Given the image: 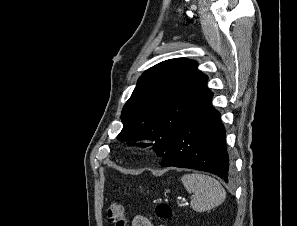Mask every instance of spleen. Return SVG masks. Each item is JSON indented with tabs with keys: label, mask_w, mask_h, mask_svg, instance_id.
<instances>
[{
	"label": "spleen",
	"mask_w": 297,
	"mask_h": 226,
	"mask_svg": "<svg viewBox=\"0 0 297 226\" xmlns=\"http://www.w3.org/2000/svg\"><path fill=\"white\" fill-rule=\"evenodd\" d=\"M181 181L189 193H193L190 206L197 212L210 210L226 198V192L213 177L200 173H190L182 176Z\"/></svg>",
	"instance_id": "obj_1"
}]
</instances>
